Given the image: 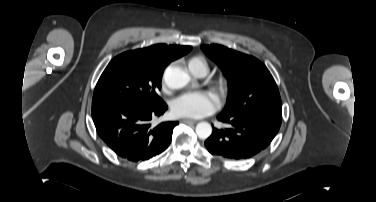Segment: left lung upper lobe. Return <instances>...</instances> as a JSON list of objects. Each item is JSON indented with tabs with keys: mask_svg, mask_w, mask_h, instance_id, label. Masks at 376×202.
Here are the masks:
<instances>
[{
	"mask_svg": "<svg viewBox=\"0 0 376 202\" xmlns=\"http://www.w3.org/2000/svg\"><path fill=\"white\" fill-rule=\"evenodd\" d=\"M201 48L228 80L230 95L222 113L233 116L255 113L282 119L277 85L262 62L222 45H202Z\"/></svg>",
	"mask_w": 376,
	"mask_h": 202,
	"instance_id": "obj_1",
	"label": "left lung upper lobe"
}]
</instances>
